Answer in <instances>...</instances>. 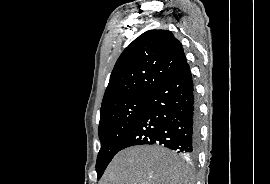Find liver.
<instances>
[{
    "label": "liver",
    "instance_id": "obj_1",
    "mask_svg": "<svg viewBox=\"0 0 270 184\" xmlns=\"http://www.w3.org/2000/svg\"><path fill=\"white\" fill-rule=\"evenodd\" d=\"M188 169L157 146H134L120 151L100 184H190Z\"/></svg>",
    "mask_w": 270,
    "mask_h": 184
}]
</instances>
